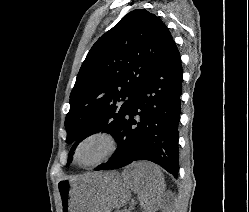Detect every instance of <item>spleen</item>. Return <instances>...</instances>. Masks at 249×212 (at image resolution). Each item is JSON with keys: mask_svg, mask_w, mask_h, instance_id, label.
I'll return each mask as SVG.
<instances>
[{"mask_svg": "<svg viewBox=\"0 0 249 212\" xmlns=\"http://www.w3.org/2000/svg\"><path fill=\"white\" fill-rule=\"evenodd\" d=\"M157 190H158V196H159L160 184H158Z\"/></svg>", "mask_w": 249, "mask_h": 212, "instance_id": "spleen-1", "label": "spleen"}]
</instances>
